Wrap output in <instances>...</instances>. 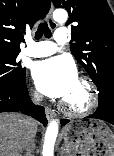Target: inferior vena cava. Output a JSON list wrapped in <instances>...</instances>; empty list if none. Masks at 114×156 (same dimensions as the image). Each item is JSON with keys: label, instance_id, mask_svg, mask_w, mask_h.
Here are the masks:
<instances>
[{"label": "inferior vena cava", "instance_id": "602c4592", "mask_svg": "<svg viewBox=\"0 0 114 156\" xmlns=\"http://www.w3.org/2000/svg\"><path fill=\"white\" fill-rule=\"evenodd\" d=\"M33 102L36 104H40L43 101V96L36 93L33 95ZM35 145L34 141H32L26 148V153L24 156H33V151H34Z\"/></svg>", "mask_w": 114, "mask_h": 156}]
</instances>
